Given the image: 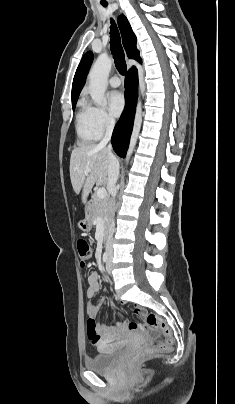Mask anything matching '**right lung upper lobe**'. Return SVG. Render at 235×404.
Instances as JSON below:
<instances>
[{"mask_svg": "<svg viewBox=\"0 0 235 404\" xmlns=\"http://www.w3.org/2000/svg\"><path fill=\"white\" fill-rule=\"evenodd\" d=\"M118 25L127 56L141 62L139 51L136 48V36L133 33L127 18L123 14L118 17ZM92 61L93 53L89 51L83 56L76 70L72 85V102H76L79 97V94L85 84Z\"/></svg>", "mask_w": 235, "mask_h": 404, "instance_id": "cb5924a9", "label": "right lung upper lobe"}]
</instances>
